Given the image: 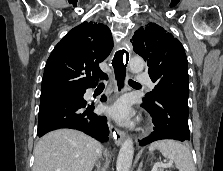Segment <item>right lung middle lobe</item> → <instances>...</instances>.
<instances>
[{
  "label": "right lung middle lobe",
  "instance_id": "right-lung-middle-lobe-1",
  "mask_svg": "<svg viewBox=\"0 0 223 171\" xmlns=\"http://www.w3.org/2000/svg\"><path fill=\"white\" fill-rule=\"evenodd\" d=\"M81 93H82V91H80V92H69V93L58 94V95H55V96L80 95ZM52 97H53V96H52ZM40 100H43V99H40Z\"/></svg>",
  "mask_w": 223,
  "mask_h": 171
}]
</instances>
